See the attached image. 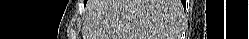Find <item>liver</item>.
<instances>
[{
    "label": "liver",
    "mask_w": 249,
    "mask_h": 39,
    "mask_svg": "<svg viewBox=\"0 0 249 39\" xmlns=\"http://www.w3.org/2000/svg\"><path fill=\"white\" fill-rule=\"evenodd\" d=\"M172 0H98L87 8L83 39H166Z\"/></svg>",
    "instance_id": "1"
}]
</instances>
